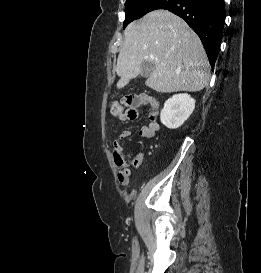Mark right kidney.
<instances>
[{"mask_svg":"<svg viewBox=\"0 0 261 273\" xmlns=\"http://www.w3.org/2000/svg\"><path fill=\"white\" fill-rule=\"evenodd\" d=\"M195 102L187 93L169 98L160 114L161 123L169 129L179 128L194 111Z\"/></svg>","mask_w":261,"mask_h":273,"instance_id":"obj_1","label":"right kidney"}]
</instances>
